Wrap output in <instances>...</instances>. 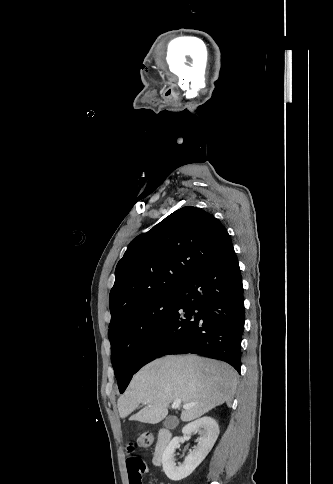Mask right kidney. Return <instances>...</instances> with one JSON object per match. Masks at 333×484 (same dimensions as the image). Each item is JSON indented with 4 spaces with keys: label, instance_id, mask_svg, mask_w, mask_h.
<instances>
[{
    "label": "right kidney",
    "instance_id": "1",
    "mask_svg": "<svg viewBox=\"0 0 333 484\" xmlns=\"http://www.w3.org/2000/svg\"><path fill=\"white\" fill-rule=\"evenodd\" d=\"M184 435L198 432L200 435L195 449L185 458L184 462L176 466L174 459L175 449L179 446V437H174L166 447L162 456L163 471L172 481H179L188 477L205 459L212 449L219 435V426L215 419L203 417L187 424L183 430Z\"/></svg>",
    "mask_w": 333,
    "mask_h": 484
}]
</instances>
